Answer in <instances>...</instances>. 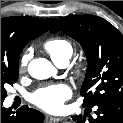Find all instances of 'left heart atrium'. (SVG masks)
I'll list each match as a JSON object with an SVG mask.
<instances>
[{"mask_svg":"<svg viewBox=\"0 0 123 123\" xmlns=\"http://www.w3.org/2000/svg\"><path fill=\"white\" fill-rule=\"evenodd\" d=\"M71 96L70 88L65 84L48 85L38 89L30 98L31 102L43 110L55 112Z\"/></svg>","mask_w":123,"mask_h":123,"instance_id":"39dd6f15","label":"left heart atrium"}]
</instances>
